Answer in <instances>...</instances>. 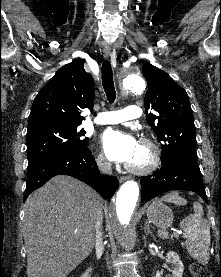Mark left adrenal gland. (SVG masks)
<instances>
[{"instance_id":"1","label":"left adrenal gland","mask_w":221,"mask_h":277,"mask_svg":"<svg viewBox=\"0 0 221 277\" xmlns=\"http://www.w3.org/2000/svg\"><path fill=\"white\" fill-rule=\"evenodd\" d=\"M144 232H145L146 235L150 234L155 239L153 233L150 230V226H149L147 221L145 222Z\"/></svg>"}]
</instances>
